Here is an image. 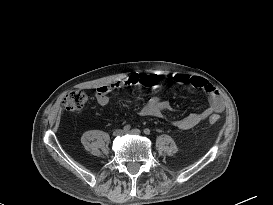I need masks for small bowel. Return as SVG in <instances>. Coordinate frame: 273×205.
<instances>
[{
  "label": "small bowel",
  "mask_w": 273,
  "mask_h": 205,
  "mask_svg": "<svg viewBox=\"0 0 273 205\" xmlns=\"http://www.w3.org/2000/svg\"><path fill=\"white\" fill-rule=\"evenodd\" d=\"M169 81L191 84L195 88L202 89L208 97V107L200 113H190L182 119L175 121V126L181 130H188L208 116L214 113H221L224 110V102L220 96V93L216 88L210 84L207 80L186 74H169L165 77ZM160 77L156 74L143 75L140 73H132L121 79L112 81L107 84H103L97 88L96 101L101 107H106L109 104L108 93L114 89L127 87V86H144L153 87L159 81ZM172 106L169 101L160 97H150L142 106L140 113L143 116H155L160 117L164 111L171 110Z\"/></svg>",
  "instance_id": "small-bowel-1"
}]
</instances>
